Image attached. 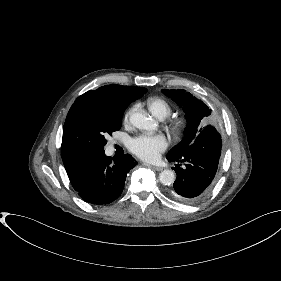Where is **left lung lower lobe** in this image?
Instances as JSON below:
<instances>
[{
    "mask_svg": "<svg viewBox=\"0 0 281 281\" xmlns=\"http://www.w3.org/2000/svg\"><path fill=\"white\" fill-rule=\"evenodd\" d=\"M221 149V135L206 127L188 146L183 156L166 157L169 162L185 164L184 168H180V164L173 168L177 178L171 190L172 195L185 203H194L206 196L219 170Z\"/></svg>",
    "mask_w": 281,
    "mask_h": 281,
    "instance_id": "1",
    "label": "left lung lower lobe"
}]
</instances>
